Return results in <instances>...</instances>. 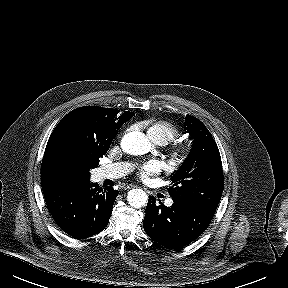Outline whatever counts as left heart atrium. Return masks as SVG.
Listing matches in <instances>:
<instances>
[{
  "label": "left heart atrium",
  "instance_id": "left-heart-atrium-1",
  "mask_svg": "<svg viewBox=\"0 0 288 288\" xmlns=\"http://www.w3.org/2000/svg\"><path fill=\"white\" fill-rule=\"evenodd\" d=\"M160 164L156 161H150L143 165L139 171V177L143 180L148 179L151 175L158 173Z\"/></svg>",
  "mask_w": 288,
  "mask_h": 288
}]
</instances>
